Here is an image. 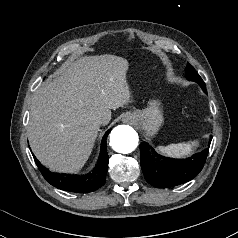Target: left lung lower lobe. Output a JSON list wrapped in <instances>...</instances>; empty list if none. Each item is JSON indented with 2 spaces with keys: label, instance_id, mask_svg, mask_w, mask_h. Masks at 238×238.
Here are the masks:
<instances>
[{
  "label": "left lung lower lobe",
  "instance_id": "1",
  "mask_svg": "<svg viewBox=\"0 0 238 238\" xmlns=\"http://www.w3.org/2000/svg\"><path fill=\"white\" fill-rule=\"evenodd\" d=\"M140 152L147 182L157 188H169L195 178L204 166L209 148L186 159H174L158 154L148 143L142 142Z\"/></svg>",
  "mask_w": 238,
  "mask_h": 238
}]
</instances>
